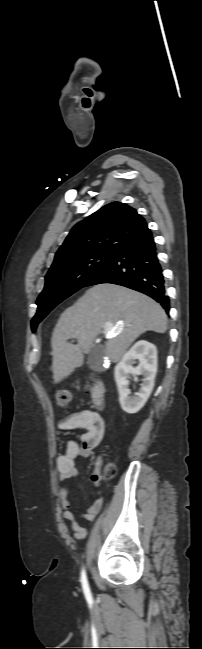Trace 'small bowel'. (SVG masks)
<instances>
[{"label":"small bowel","mask_w":202,"mask_h":649,"mask_svg":"<svg viewBox=\"0 0 202 649\" xmlns=\"http://www.w3.org/2000/svg\"><path fill=\"white\" fill-rule=\"evenodd\" d=\"M58 428L65 432H72L79 429L84 430V433L78 440H70L67 443L64 454L57 459L59 479L61 482H65L77 475V461L89 457L94 449L102 442L105 436V422L96 412L83 410L73 413L60 421ZM90 479L95 487L100 486L103 476L98 466H96ZM58 495L63 508V518L71 523L73 538L84 539L87 535V529L81 527L75 519V515L71 510V502L67 499L68 489L60 487ZM102 505L103 499L99 497L90 504L85 512L80 513V516L89 523H92L96 515L100 512Z\"/></svg>","instance_id":"small-bowel-1"}]
</instances>
